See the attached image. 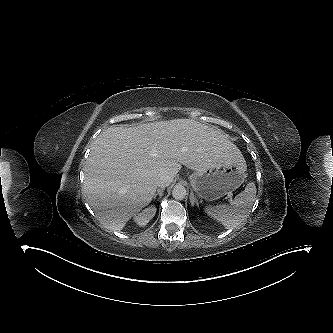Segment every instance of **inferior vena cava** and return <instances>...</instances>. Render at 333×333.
I'll use <instances>...</instances> for the list:
<instances>
[{
    "mask_svg": "<svg viewBox=\"0 0 333 333\" xmlns=\"http://www.w3.org/2000/svg\"><path fill=\"white\" fill-rule=\"evenodd\" d=\"M173 179H174L173 176L169 174H161L158 176L156 184L160 188H165L171 184Z\"/></svg>",
    "mask_w": 333,
    "mask_h": 333,
    "instance_id": "obj_1",
    "label": "inferior vena cava"
}]
</instances>
